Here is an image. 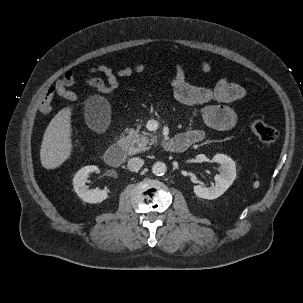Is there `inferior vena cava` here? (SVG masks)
<instances>
[{"label":"inferior vena cava","instance_id":"obj_1","mask_svg":"<svg viewBox=\"0 0 303 303\" xmlns=\"http://www.w3.org/2000/svg\"><path fill=\"white\" fill-rule=\"evenodd\" d=\"M144 160L139 157H133L129 159L127 167L132 172H137L143 166Z\"/></svg>","mask_w":303,"mask_h":303}]
</instances>
